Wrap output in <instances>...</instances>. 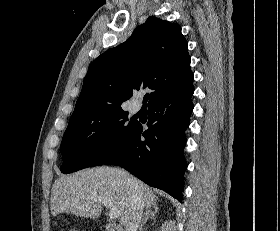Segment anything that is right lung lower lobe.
<instances>
[{"label": "right lung lower lobe", "mask_w": 280, "mask_h": 231, "mask_svg": "<svg viewBox=\"0 0 280 231\" xmlns=\"http://www.w3.org/2000/svg\"><path fill=\"white\" fill-rule=\"evenodd\" d=\"M190 85L148 106V130L136 124L105 165H118L152 187L164 190L181 202L184 172L185 130L193 110ZM145 140L142 141L141 137Z\"/></svg>", "instance_id": "98d812e1"}]
</instances>
